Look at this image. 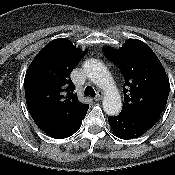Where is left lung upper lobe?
Segmentation results:
<instances>
[{"mask_svg":"<svg viewBox=\"0 0 175 175\" xmlns=\"http://www.w3.org/2000/svg\"><path fill=\"white\" fill-rule=\"evenodd\" d=\"M104 54L122 71L124 100L121 112L163 111L170 83L152 49L137 39L127 40L122 48H103Z\"/></svg>","mask_w":175,"mask_h":175,"instance_id":"1","label":"left lung upper lobe"}]
</instances>
